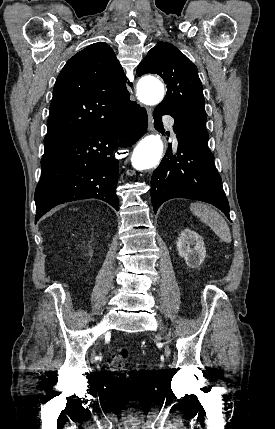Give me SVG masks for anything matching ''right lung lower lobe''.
<instances>
[{"label":"right lung lower lobe","instance_id":"98d812e1","mask_svg":"<svg viewBox=\"0 0 275 429\" xmlns=\"http://www.w3.org/2000/svg\"><path fill=\"white\" fill-rule=\"evenodd\" d=\"M147 124L146 110L133 103L124 116L109 125L45 145L35 191V222L56 205L79 199H101L118 210L119 163L114 152L134 144L146 132Z\"/></svg>","mask_w":275,"mask_h":429}]
</instances>
